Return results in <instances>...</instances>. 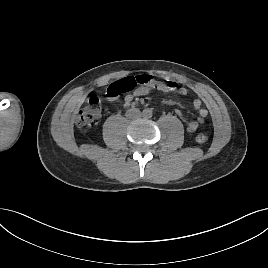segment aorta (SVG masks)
<instances>
[{"label": "aorta", "mask_w": 268, "mask_h": 268, "mask_svg": "<svg viewBox=\"0 0 268 268\" xmlns=\"http://www.w3.org/2000/svg\"><path fill=\"white\" fill-rule=\"evenodd\" d=\"M144 115L146 117H151L152 116V111L147 109V110L144 111Z\"/></svg>", "instance_id": "aorta-1"}]
</instances>
